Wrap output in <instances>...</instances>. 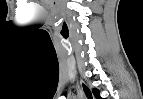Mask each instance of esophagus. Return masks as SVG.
Returning a JSON list of instances; mask_svg holds the SVG:
<instances>
[{
	"instance_id": "34e87169",
	"label": "esophagus",
	"mask_w": 143,
	"mask_h": 99,
	"mask_svg": "<svg viewBox=\"0 0 143 99\" xmlns=\"http://www.w3.org/2000/svg\"><path fill=\"white\" fill-rule=\"evenodd\" d=\"M80 86L85 99L94 98L91 88L84 82L83 79H80Z\"/></svg>"
}]
</instances>
